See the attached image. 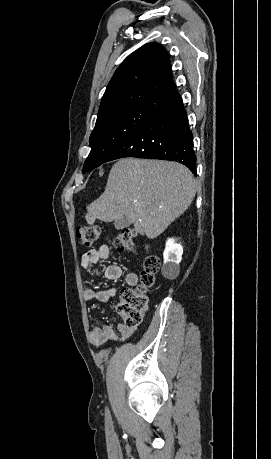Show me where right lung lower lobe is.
<instances>
[{
	"instance_id": "obj_1",
	"label": "right lung lower lobe",
	"mask_w": 271,
	"mask_h": 459,
	"mask_svg": "<svg viewBox=\"0 0 271 459\" xmlns=\"http://www.w3.org/2000/svg\"><path fill=\"white\" fill-rule=\"evenodd\" d=\"M124 157L176 161L196 175L193 134L180 96L134 131L106 162Z\"/></svg>"
}]
</instances>
